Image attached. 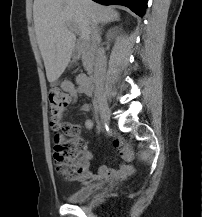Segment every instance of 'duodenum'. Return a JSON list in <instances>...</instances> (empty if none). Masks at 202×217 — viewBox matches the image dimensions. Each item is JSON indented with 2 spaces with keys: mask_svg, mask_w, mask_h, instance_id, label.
<instances>
[{
  "mask_svg": "<svg viewBox=\"0 0 202 217\" xmlns=\"http://www.w3.org/2000/svg\"><path fill=\"white\" fill-rule=\"evenodd\" d=\"M75 57H81L82 56V52L80 51H76L74 53ZM81 86L83 87V89L85 90V92L87 93H92V89H93V82L91 79L85 77V76H81Z\"/></svg>",
  "mask_w": 202,
  "mask_h": 217,
  "instance_id": "duodenum-1",
  "label": "duodenum"
}]
</instances>
